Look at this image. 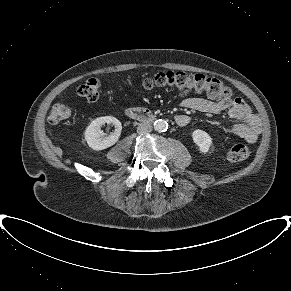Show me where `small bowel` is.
Segmentation results:
<instances>
[{
    "mask_svg": "<svg viewBox=\"0 0 291 291\" xmlns=\"http://www.w3.org/2000/svg\"><path fill=\"white\" fill-rule=\"evenodd\" d=\"M181 104L185 108L210 115H218L226 110L228 116L238 121V123L229 126H219L218 130L222 133L234 134L248 142H255L261 132L259 118L240 97L220 100L218 102L202 97H188L182 100ZM175 121L179 126H186L190 122V118L185 114H179L175 117Z\"/></svg>",
    "mask_w": 291,
    "mask_h": 291,
    "instance_id": "small-bowel-1",
    "label": "small bowel"
}]
</instances>
